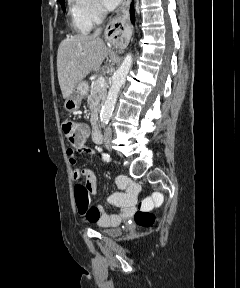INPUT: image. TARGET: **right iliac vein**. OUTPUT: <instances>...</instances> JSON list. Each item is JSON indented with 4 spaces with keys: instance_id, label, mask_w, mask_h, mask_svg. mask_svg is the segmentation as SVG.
Returning <instances> with one entry per match:
<instances>
[{
    "instance_id": "1",
    "label": "right iliac vein",
    "mask_w": 240,
    "mask_h": 288,
    "mask_svg": "<svg viewBox=\"0 0 240 288\" xmlns=\"http://www.w3.org/2000/svg\"><path fill=\"white\" fill-rule=\"evenodd\" d=\"M106 148H107L108 150H112L111 145H106Z\"/></svg>"
}]
</instances>
